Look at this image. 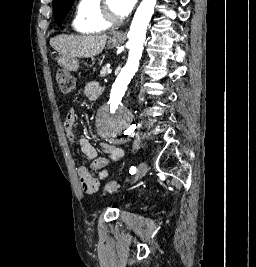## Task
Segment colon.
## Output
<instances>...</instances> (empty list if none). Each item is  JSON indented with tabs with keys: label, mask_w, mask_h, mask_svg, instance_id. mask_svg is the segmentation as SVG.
I'll return each mask as SVG.
<instances>
[{
	"label": "colon",
	"mask_w": 256,
	"mask_h": 267,
	"mask_svg": "<svg viewBox=\"0 0 256 267\" xmlns=\"http://www.w3.org/2000/svg\"><path fill=\"white\" fill-rule=\"evenodd\" d=\"M56 79L60 90H62L63 92L72 91L77 84L75 77L72 75V73H67V70L57 71ZM120 189H121V184L117 181L108 182L103 186L104 193H112Z\"/></svg>",
	"instance_id": "colon-1"
}]
</instances>
